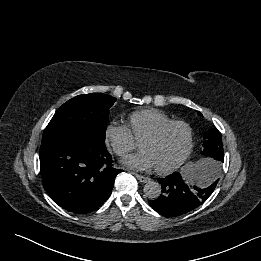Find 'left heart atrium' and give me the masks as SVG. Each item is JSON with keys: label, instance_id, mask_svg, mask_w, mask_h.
<instances>
[{"label": "left heart atrium", "instance_id": "39dd6f15", "mask_svg": "<svg viewBox=\"0 0 261 261\" xmlns=\"http://www.w3.org/2000/svg\"><path fill=\"white\" fill-rule=\"evenodd\" d=\"M123 164L132 170L143 171L155 167L153 158L144 150L132 154L123 160Z\"/></svg>", "mask_w": 261, "mask_h": 261}]
</instances>
